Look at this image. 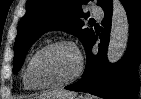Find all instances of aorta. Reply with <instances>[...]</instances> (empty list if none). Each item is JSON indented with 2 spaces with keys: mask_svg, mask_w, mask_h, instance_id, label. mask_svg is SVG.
<instances>
[{
  "mask_svg": "<svg viewBox=\"0 0 141 99\" xmlns=\"http://www.w3.org/2000/svg\"><path fill=\"white\" fill-rule=\"evenodd\" d=\"M129 23L126 10L120 0H113L110 40L107 58L110 63L118 62L123 56L128 42Z\"/></svg>",
  "mask_w": 141,
  "mask_h": 99,
  "instance_id": "obj_1",
  "label": "aorta"
}]
</instances>
